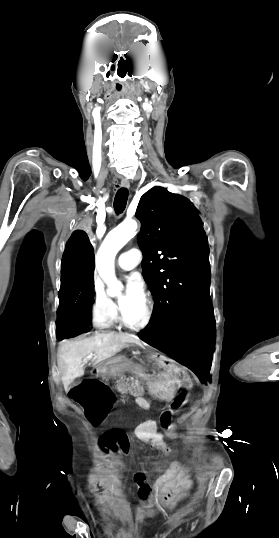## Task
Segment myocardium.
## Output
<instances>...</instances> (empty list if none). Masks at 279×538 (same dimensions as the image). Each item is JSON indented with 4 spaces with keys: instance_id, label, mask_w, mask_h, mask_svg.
<instances>
[{
    "instance_id": "myocardium-1",
    "label": "myocardium",
    "mask_w": 279,
    "mask_h": 538,
    "mask_svg": "<svg viewBox=\"0 0 279 538\" xmlns=\"http://www.w3.org/2000/svg\"><path fill=\"white\" fill-rule=\"evenodd\" d=\"M102 223H103V217L102 219L97 218V226H102ZM140 230V224L137 223L136 227H135V232L131 235H135L137 232H139ZM142 297L144 299V302H145V315L144 317L142 318L141 321L137 322V323H133V322H130L124 315L123 313V310H122V307H121V303L119 302V307H120V322L127 328L129 329L130 331H133V332H140V331H143L144 329H146L152 319H153V315H154V304L152 302V299L149 295L147 294H142Z\"/></svg>"
}]
</instances>
